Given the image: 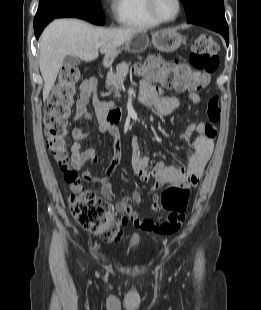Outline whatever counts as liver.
I'll return each instance as SVG.
<instances>
[{
  "instance_id": "obj_1",
  "label": "liver",
  "mask_w": 261,
  "mask_h": 310,
  "mask_svg": "<svg viewBox=\"0 0 261 310\" xmlns=\"http://www.w3.org/2000/svg\"><path fill=\"white\" fill-rule=\"evenodd\" d=\"M142 32L138 28L94 27L78 19H57L50 23L40 37L39 67L44 80L43 99L46 100L53 88L65 56L93 61L99 56L96 44L101 43L100 53L108 57L114 55L121 44Z\"/></svg>"
}]
</instances>
